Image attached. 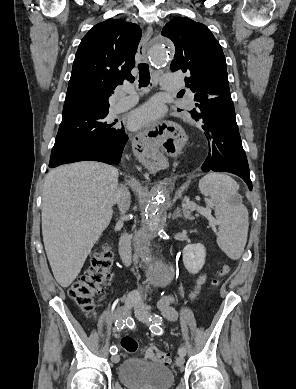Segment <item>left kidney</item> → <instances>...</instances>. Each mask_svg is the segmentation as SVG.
<instances>
[{
	"label": "left kidney",
	"mask_w": 296,
	"mask_h": 389,
	"mask_svg": "<svg viewBox=\"0 0 296 389\" xmlns=\"http://www.w3.org/2000/svg\"><path fill=\"white\" fill-rule=\"evenodd\" d=\"M206 249L204 245L189 244L183 250V263L191 274L198 273L205 264Z\"/></svg>",
	"instance_id": "1"
}]
</instances>
